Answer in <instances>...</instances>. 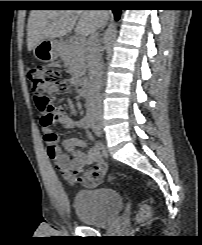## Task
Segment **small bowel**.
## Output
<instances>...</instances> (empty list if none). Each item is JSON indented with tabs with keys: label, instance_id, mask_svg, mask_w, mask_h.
Here are the masks:
<instances>
[{
	"label": "small bowel",
	"instance_id": "obj_1",
	"mask_svg": "<svg viewBox=\"0 0 202 245\" xmlns=\"http://www.w3.org/2000/svg\"><path fill=\"white\" fill-rule=\"evenodd\" d=\"M82 104L77 102L74 111L81 112ZM58 122H61L67 129L75 127L84 128L81 120L69 119L65 111L57 108L54 111ZM43 140L46 144L49 154L53 146L57 147V154L51 156V159L56 164L57 168L62 173L63 177L73 183L81 184L86 188H92L99 185L102 181L104 173V163L99 148L92 146L84 153L82 150L87 148V143L80 138H67L59 143V136L51 129V125H45L40 121ZM61 148L69 151L71 156L64 153ZM88 166V168H86Z\"/></svg>",
	"mask_w": 202,
	"mask_h": 245
}]
</instances>
